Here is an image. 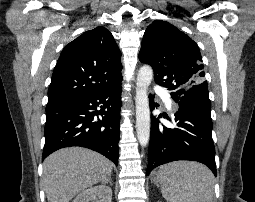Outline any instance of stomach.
<instances>
[{
	"label": "stomach",
	"mask_w": 255,
	"mask_h": 202,
	"mask_svg": "<svg viewBox=\"0 0 255 202\" xmlns=\"http://www.w3.org/2000/svg\"><path fill=\"white\" fill-rule=\"evenodd\" d=\"M152 183L156 184L157 186H159L160 184V180H159V177H158V174L157 175H154L151 179Z\"/></svg>",
	"instance_id": "1"
}]
</instances>
